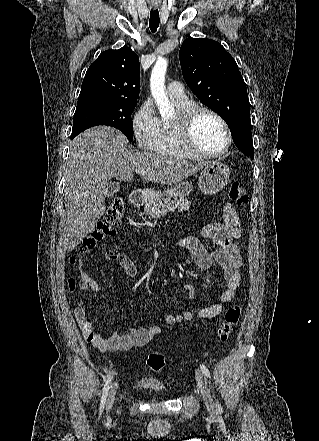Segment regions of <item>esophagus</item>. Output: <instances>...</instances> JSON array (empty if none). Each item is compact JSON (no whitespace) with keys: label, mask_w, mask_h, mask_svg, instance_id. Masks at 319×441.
<instances>
[{"label":"esophagus","mask_w":319,"mask_h":441,"mask_svg":"<svg viewBox=\"0 0 319 441\" xmlns=\"http://www.w3.org/2000/svg\"><path fill=\"white\" fill-rule=\"evenodd\" d=\"M153 9H156V6H153Z\"/></svg>","instance_id":"34e87169"}]
</instances>
